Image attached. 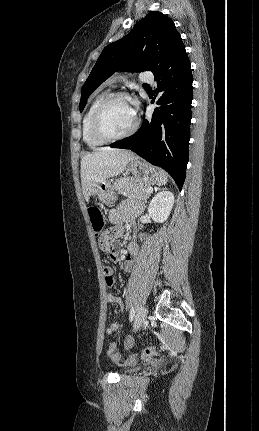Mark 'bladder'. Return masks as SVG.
Segmentation results:
<instances>
[{"label": "bladder", "instance_id": "obj_1", "mask_svg": "<svg viewBox=\"0 0 259 431\" xmlns=\"http://www.w3.org/2000/svg\"><path fill=\"white\" fill-rule=\"evenodd\" d=\"M134 370H135L134 368H131V369L126 370V371H125V373H131V372H133Z\"/></svg>", "mask_w": 259, "mask_h": 431}]
</instances>
